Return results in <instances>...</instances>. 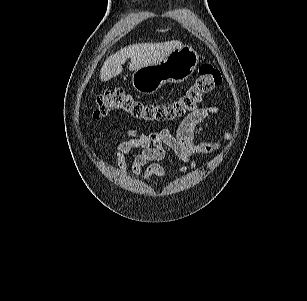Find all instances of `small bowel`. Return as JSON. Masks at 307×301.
Listing matches in <instances>:
<instances>
[{"label": "small bowel", "instance_id": "obj_1", "mask_svg": "<svg viewBox=\"0 0 307 301\" xmlns=\"http://www.w3.org/2000/svg\"><path fill=\"white\" fill-rule=\"evenodd\" d=\"M217 113L216 106H207L196 110L185 118L176 132L164 128L157 132L142 133L127 129L117 135L119 141L116 148V161L122 173L129 171L133 176L144 175L145 179L163 178L164 168L158 163L164 159L167 149L171 150L182 162L181 173L195 167V154L209 153L215 150L219 143L195 142V128L203 120ZM132 151H140L133 162L128 165L126 155ZM143 171V167L148 164Z\"/></svg>", "mask_w": 307, "mask_h": 301}]
</instances>
